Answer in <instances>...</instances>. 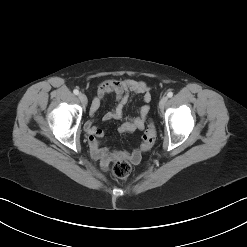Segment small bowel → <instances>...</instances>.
<instances>
[{
	"mask_svg": "<svg viewBox=\"0 0 247 247\" xmlns=\"http://www.w3.org/2000/svg\"><path fill=\"white\" fill-rule=\"evenodd\" d=\"M110 94L115 95L117 103L111 111L104 115V120L122 121L118 127L121 133H133L137 130H142L149 114V106H141L134 117L125 120H123L124 109L133 95H140L144 102H150L151 93L148 85L143 81L133 79L104 81L99 85L97 94L90 107V116L92 118L98 111L101 101ZM84 130L88 135L92 156L99 161L100 166L104 170L115 160H128L133 164H137L140 161L141 156L138 150H111L103 146L101 141L104 138L105 132L94 124L93 119L88 120L84 124Z\"/></svg>",
	"mask_w": 247,
	"mask_h": 247,
	"instance_id": "obj_1",
	"label": "small bowel"
}]
</instances>
